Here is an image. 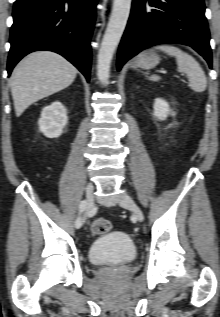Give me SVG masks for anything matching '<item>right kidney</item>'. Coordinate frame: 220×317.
<instances>
[{
    "instance_id": "1",
    "label": "right kidney",
    "mask_w": 220,
    "mask_h": 317,
    "mask_svg": "<svg viewBox=\"0 0 220 317\" xmlns=\"http://www.w3.org/2000/svg\"><path fill=\"white\" fill-rule=\"evenodd\" d=\"M67 123V112L64 105L55 101L42 109L38 121L39 130L48 138H57Z\"/></svg>"
}]
</instances>
